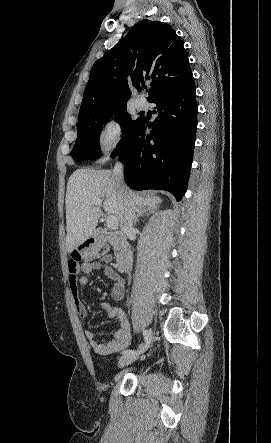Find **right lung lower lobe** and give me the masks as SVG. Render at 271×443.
Here are the masks:
<instances>
[{"label":"right lung lower lobe","mask_w":271,"mask_h":443,"mask_svg":"<svg viewBox=\"0 0 271 443\" xmlns=\"http://www.w3.org/2000/svg\"><path fill=\"white\" fill-rule=\"evenodd\" d=\"M149 102L157 105V118L151 123L139 119L117 153L125 164L124 178L135 190L162 189L179 201L187 189L197 128L194 78ZM147 127L153 130L145 135Z\"/></svg>","instance_id":"right-lung-lower-lobe-1"}]
</instances>
